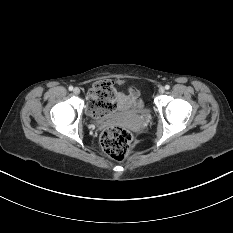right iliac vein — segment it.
<instances>
[{"label":"right iliac vein","mask_w":233,"mask_h":233,"mask_svg":"<svg viewBox=\"0 0 233 233\" xmlns=\"http://www.w3.org/2000/svg\"><path fill=\"white\" fill-rule=\"evenodd\" d=\"M73 93H74L75 95L80 94V89H79L78 87L74 88Z\"/></svg>","instance_id":"right-iliac-vein-1"}]
</instances>
